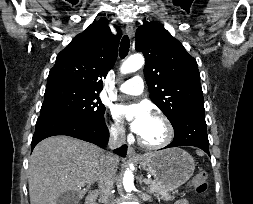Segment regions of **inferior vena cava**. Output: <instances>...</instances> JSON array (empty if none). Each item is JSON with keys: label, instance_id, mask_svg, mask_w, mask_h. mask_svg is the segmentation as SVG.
<instances>
[{"label": "inferior vena cava", "instance_id": "1", "mask_svg": "<svg viewBox=\"0 0 253 204\" xmlns=\"http://www.w3.org/2000/svg\"><path fill=\"white\" fill-rule=\"evenodd\" d=\"M126 140L125 130L123 128L114 129L111 131L109 139V148L116 149L124 144ZM114 156L108 153L105 160L104 171L99 179V191L102 198L110 200L112 197L113 177L116 173V165L114 163Z\"/></svg>", "mask_w": 253, "mask_h": 204}]
</instances>
